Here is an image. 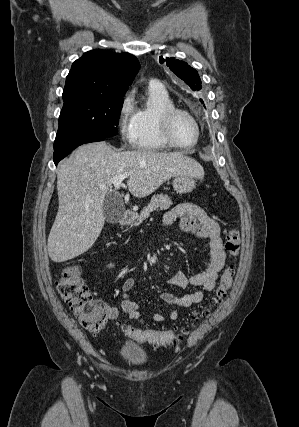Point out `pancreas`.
Instances as JSON below:
<instances>
[{"label":"pancreas","mask_w":299,"mask_h":427,"mask_svg":"<svg viewBox=\"0 0 299 427\" xmlns=\"http://www.w3.org/2000/svg\"><path fill=\"white\" fill-rule=\"evenodd\" d=\"M172 201L167 195H154L149 204L143 208L140 215L135 222V225H140L145 219H147L151 212L156 210H167L172 206Z\"/></svg>","instance_id":"obj_1"}]
</instances>
